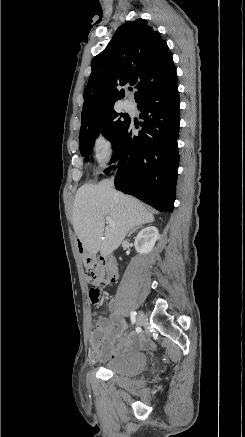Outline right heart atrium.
I'll list each match as a JSON object with an SVG mask.
<instances>
[{
  "instance_id": "d8ad5b80",
  "label": "right heart atrium",
  "mask_w": 245,
  "mask_h": 437,
  "mask_svg": "<svg viewBox=\"0 0 245 437\" xmlns=\"http://www.w3.org/2000/svg\"><path fill=\"white\" fill-rule=\"evenodd\" d=\"M114 144L107 130L98 131L92 140V152L99 167H106L111 161Z\"/></svg>"
}]
</instances>
